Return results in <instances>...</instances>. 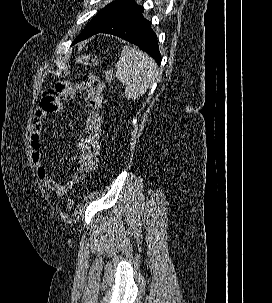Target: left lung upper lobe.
I'll return each mask as SVG.
<instances>
[{
  "mask_svg": "<svg viewBox=\"0 0 272 303\" xmlns=\"http://www.w3.org/2000/svg\"><path fill=\"white\" fill-rule=\"evenodd\" d=\"M134 5H135L134 0H115L111 4L107 5L103 9H101L96 14V16L86 25V27L84 28V30L81 32V34L79 36L88 32L89 30H91L93 27H95L97 24H99L103 20L107 19L108 17L113 16L126 9H129V8L133 7ZM78 37H76V39Z\"/></svg>",
  "mask_w": 272,
  "mask_h": 303,
  "instance_id": "left-lung-upper-lobe-1",
  "label": "left lung upper lobe"
}]
</instances>
